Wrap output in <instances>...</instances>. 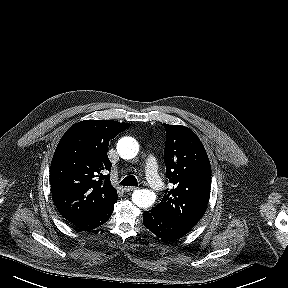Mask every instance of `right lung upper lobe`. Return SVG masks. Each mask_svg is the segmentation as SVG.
<instances>
[{"instance_id":"cb5924a9","label":"right lung upper lobe","mask_w":288,"mask_h":288,"mask_svg":"<svg viewBox=\"0 0 288 288\" xmlns=\"http://www.w3.org/2000/svg\"><path fill=\"white\" fill-rule=\"evenodd\" d=\"M130 126L112 120H85L62 136L55 150L50 184L60 214L73 222L98 214L118 199L111 185L109 141Z\"/></svg>"}]
</instances>
